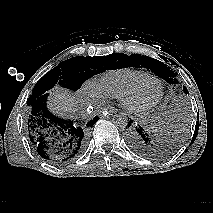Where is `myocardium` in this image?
<instances>
[{
    "label": "myocardium",
    "instance_id": "1",
    "mask_svg": "<svg viewBox=\"0 0 213 213\" xmlns=\"http://www.w3.org/2000/svg\"><path fill=\"white\" fill-rule=\"evenodd\" d=\"M156 84L159 92L153 99H146L144 96L145 89L151 85ZM164 88L160 79L151 77L136 85L128 93L121 98V105L124 110L129 113H144L155 106H157L163 98Z\"/></svg>",
    "mask_w": 213,
    "mask_h": 213
}]
</instances>
